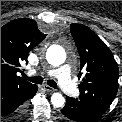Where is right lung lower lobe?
Here are the masks:
<instances>
[{"instance_id":"98d812e1","label":"right lung lower lobe","mask_w":122,"mask_h":122,"mask_svg":"<svg viewBox=\"0 0 122 122\" xmlns=\"http://www.w3.org/2000/svg\"><path fill=\"white\" fill-rule=\"evenodd\" d=\"M38 87L36 85L26 89H1V119H13L22 115L24 103L32 98Z\"/></svg>"}]
</instances>
